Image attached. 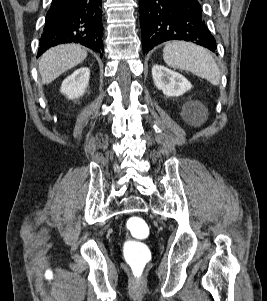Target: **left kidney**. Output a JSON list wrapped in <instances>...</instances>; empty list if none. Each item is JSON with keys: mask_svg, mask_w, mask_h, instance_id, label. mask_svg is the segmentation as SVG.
<instances>
[{"mask_svg": "<svg viewBox=\"0 0 267 301\" xmlns=\"http://www.w3.org/2000/svg\"><path fill=\"white\" fill-rule=\"evenodd\" d=\"M152 77L157 89L167 97H178L192 88L191 83L180 73L162 65L152 67Z\"/></svg>", "mask_w": 267, "mask_h": 301, "instance_id": "1", "label": "left kidney"}]
</instances>
